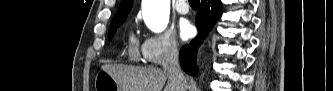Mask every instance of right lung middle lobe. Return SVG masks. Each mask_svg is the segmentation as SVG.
Masks as SVG:
<instances>
[{"instance_id": "right-lung-middle-lobe-1", "label": "right lung middle lobe", "mask_w": 333, "mask_h": 91, "mask_svg": "<svg viewBox=\"0 0 333 91\" xmlns=\"http://www.w3.org/2000/svg\"><path fill=\"white\" fill-rule=\"evenodd\" d=\"M126 20V18H120V19H116V20H112L110 27H109V35H108V39L111 40L112 37L114 36L116 30L118 27H120L124 21Z\"/></svg>"}]
</instances>
